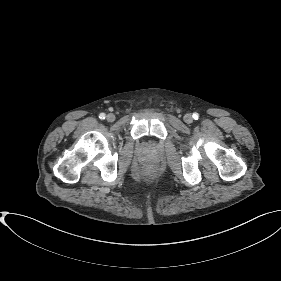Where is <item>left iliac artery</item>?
<instances>
[{
	"label": "left iliac artery",
	"mask_w": 281,
	"mask_h": 281,
	"mask_svg": "<svg viewBox=\"0 0 281 281\" xmlns=\"http://www.w3.org/2000/svg\"><path fill=\"white\" fill-rule=\"evenodd\" d=\"M193 118H194L195 120H197V119L199 118V114H198V113H194V114H193Z\"/></svg>",
	"instance_id": "44dca946"
}]
</instances>
